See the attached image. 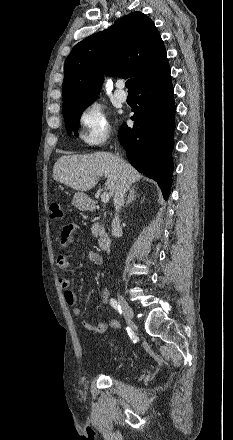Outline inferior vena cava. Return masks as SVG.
Here are the masks:
<instances>
[{"instance_id": "1", "label": "inferior vena cava", "mask_w": 233, "mask_h": 440, "mask_svg": "<svg viewBox=\"0 0 233 440\" xmlns=\"http://www.w3.org/2000/svg\"><path fill=\"white\" fill-rule=\"evenodd\" d=\"M129 188V185L124 177L121 178L117 190L114 194L113 202L116 210V215L112 221V235L117 237L121 233L120 220L118 212L124 204V196Z\"/></svg>"}]
</instances>
